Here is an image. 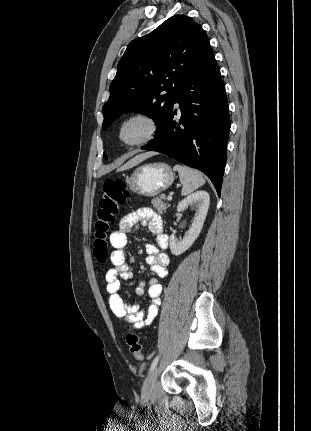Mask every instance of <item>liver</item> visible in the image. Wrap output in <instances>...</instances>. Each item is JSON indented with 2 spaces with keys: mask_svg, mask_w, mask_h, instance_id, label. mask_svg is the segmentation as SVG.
Instances as JSON below:
<instances>
[{
  "mask_svg": "<svg viewBox=\"0 0 311 431\" xmlns=\"http://www.w3.org/2000/svg\"><path fill=\"white\" fill-rule=\"evenodd\" d=\"M152 152H147V154H139V156H134V158H131L129 162H126L124 166H121L119 170H129V168H134V166H138V164H141V162H144V160H147V158H151Z\"/></svg>",
  "mask_w": 311,
  "mask_h": 431,
  "instance_id": "6515ba94",
  "label": "liver"
}]
</instances>
